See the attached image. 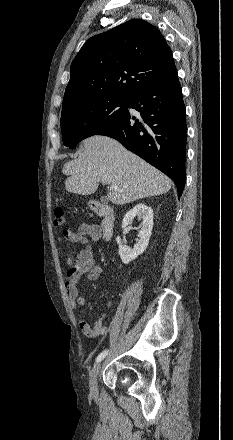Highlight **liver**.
Listing matches in <instances>:
<instances>
[{"label":"liver","mask_w":233,"mask_h":440,"mask_svg":"<svg viewBox=\"0 0 233 440\" xmlns=\"http://www.w3.org/2000/svg\"><path fill=\"white\" fill-rule=\"evenodd\" d=\"M62 172L69 176L65 188L70 193L91 195L99 182L116 185L117 189L107 195L116 205L166 193L172 184L166 175L118 141L101 135L85 139L82 154L65 163Z\"/></svg>","instance_id":"liver-1"}]
</instances>
